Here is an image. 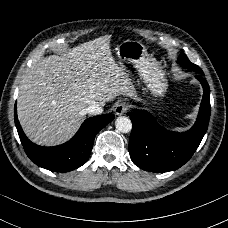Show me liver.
Instances as JSON below:
<instances>
[{
  "instance_id": "obj_1",
  "label": "liver",
  "mask_w": 228,
  "mask_h": 228,
  "mask_svg": "<svg viewBox=\"0 0 228 228\" xmlns=\"http://www.w3.org/2000/svg\"><path fill=\"white\" fill-rule=\"evenodd\" d=\"M110 38L101 36L61 56L45 57L23 76L17 114L31 141L46 146L65 142L84 121L89 105L134 96L129 74L111 54Z\"/></svg>"
}]
</instances>
